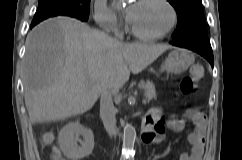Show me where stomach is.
Returning a JSON list of instances; mask_svg holds the SVG:
<instances>
[{
    "label": "stomach",
    "mask_w": 242,
    "mask_h": 160,
    "mask_svg": "<svg viewBox=\"0 0 242 160\" xmlns=\"http://www.w3.org/2000/svg\"><path fill=\"white\" fill-rule=\"evenodd\" d=\"M194 62L193 54L181 48L174 49L166 58L162 70L179 74L186 71Z\"/></svg>",
    "instance_id": "1"
}]
</instances>
